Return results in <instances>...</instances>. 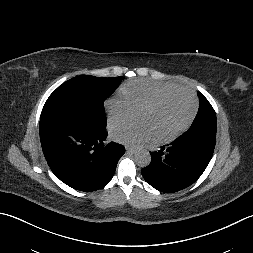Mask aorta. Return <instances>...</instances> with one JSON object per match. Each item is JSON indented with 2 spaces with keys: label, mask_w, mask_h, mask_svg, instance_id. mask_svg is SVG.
I'll return each instance as SVG.
<instances>
[{
  "label": "aorta",
  "mask_w": 253,
  "mask_h": 253,
  "mask_svg": "<svg viewBox=\"0 0 253 253\" xmlns=\"http://www.w3.org/2000/svg\"><path fill=\"white\" fill-rule=\"evenodd\" d=\"M135 162L140 167H147L151 162V155L145 148H140L135 153Z\"/></svg>",
  "instance_id": "obj_1"
}]
</instances>
